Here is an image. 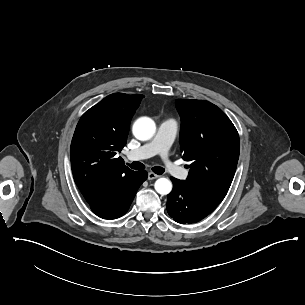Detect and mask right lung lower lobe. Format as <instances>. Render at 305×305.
<instances>
[{
	"label": "right lung lower lobe",
	"instance_id": "right-lung-lower-lobe-1",
	"mask_svg": "<svg viewBox=\"0 0 305 305\" xmlns=\"http://www.w3.org/2000/svg\"><path fill=\"white\" fill-rule=\"evenodd\" d=\"M148 173L144 170L134 171L127 179L117 183L102 197L89 202L91 210L103 219H116L124 215L140 187L147 179Z\"/></svg>",
	"mask_w": 305,
	"mask_h": 305
}]
</instances>
